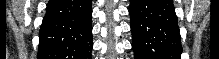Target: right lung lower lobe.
I'll list each match as a JSON object with an SVG mask.
<instances>
[{"label":"right lung lower lobe","mask_w":219,"mask_h":59,"mask_svg":"<svg viewBox=\"0 0 219 59\" xmlns=\"http://www.w3.org/2000/svg\"><path fill=\"white\" fill-rule=\"evenodd\" d=\"M91 0H49L39 32L38 59H90Z\"/></svg>","instance_id":"1"}]
</instances>
